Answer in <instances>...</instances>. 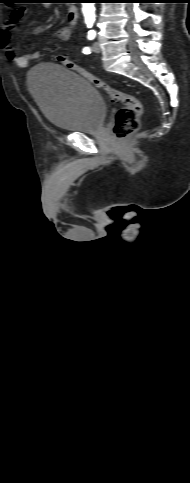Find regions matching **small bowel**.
I'll list each match as a JSON object with an SVG mask.
<instances>
[{
	"instance_id": "obj_1",
	"label": "small bowel",
	"mask_w": 190,
	"mask_h": 483,
	"mask_svg": "<svg viewBox=\"0 0 190 483\" xmlns=\"http://www.w3.org/2000/svg\"><path fill=\"white\" fill-rule=\"evenodd\" d=\"M27 9V6H20L14 9L10 13L5 24L0 28V48L3 50L5 56L9 60H12L19 68L27 67L31 59L38 57V53L18 55L15 48L11 45L12 34L17 27L18 21L22 18ZM71 33V26H63L53 33V37L60 41H67L69 40Z\"/></svg>"
}]
</instances>
